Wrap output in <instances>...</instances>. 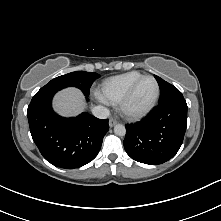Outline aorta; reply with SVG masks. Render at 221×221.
<instances>
[{"instance_id":"obj_1","label":"aorta","mask_w":221,"mask_h":221,"mask_svg":"<svg viewBox=\"0 0 221 221\" xmlns=\"http://www.w3.org/2000/svg\"><path fill=\"white\" fill-rule=\"evenodd\" d=\"M114 133L118 136H124L126 134V128L122 124H116L114 126Z\"/></svg>"}]
</instances>
